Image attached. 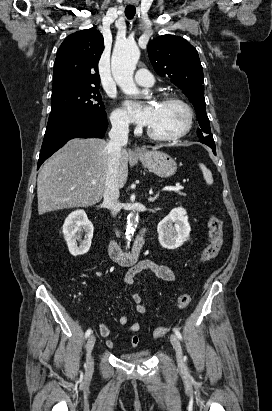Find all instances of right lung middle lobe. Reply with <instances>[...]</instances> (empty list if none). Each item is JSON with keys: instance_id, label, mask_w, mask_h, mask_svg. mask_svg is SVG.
Listing matches in <instances>:
<instances>
[{"instance_id": "1", "label": "right lung middle lobe", "mask_w": 272, "mask_h": 411, "mask_svg": "<svg viewBox=\"0 0 272 411\" xmlns=\"http://www.w3.org/2000/svg\"><path fill=\"white\" fill-rule=\"evenodd\" d=\"M47 128L77 117L107 118L98 87L69 89L51 96Z\"/></svg>"}]
</instances>
